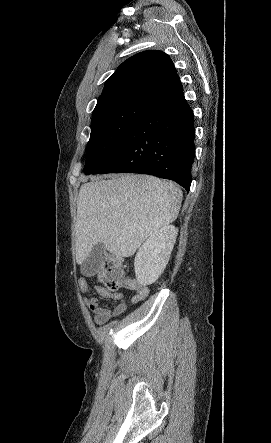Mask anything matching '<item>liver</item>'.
Instances as JSON below:
<instances>
[{
    "mask_svg": "<svg viewBox=\"0 0 271 443\" xmlns=\"http://www.w3.org/2000/svg\"><path fill=\"white\" fill-rule=\"evenodd\" d=\"M183 194L173 182L153 176H102L82 184L77 200L76 261L96 243L120 257L134 255L147 237L176 220Z\"/></svg>",
    "mask_w": 271,
    "mask_h": 443,
    "instance_id": "liver-1",
    "label": "liver"
}]
</instances>
